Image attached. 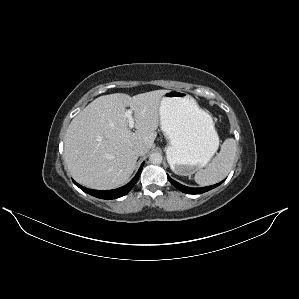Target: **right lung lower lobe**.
<instances>
[{"label": "right lung lower lobe", "instance_id": "obj_1", "mask_svg": "<svg viewBox=\"0 0 299 299\" xmlns=\"http://www.w3.org/2000/svg\"><path fill=\"white\" fill-rule=\"evenodd\" d=\"M144 163H142L141 167L139 168L137 174L135 175V177L125 186L120 187L118 189H114V190H107V191H100V190H92V189H88L85 188L81 185H79L78 183H76L75 181H73L81 190H83L84 192L95 196L97 198H101V199H116L119 197H122L124 195H126L131 188L134 186V184L137 182L140 173L142 171Z\"/></svg>", "mask_w": 299, "mask_h": 299}]
</instances>
